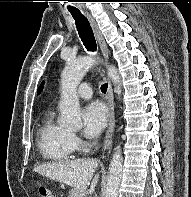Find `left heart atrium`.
I'll use <instances>...</instances> for the list:
<instances>
[{"mask_svg":"<svg viewBox=\"0 0 191 197\" xmlns=\"http://www.w3.org/2000/svg\"><path fill=\"white\" fill-rule=\"evenodd\" d=\"M106 107L100 102L88 104L82 112L84 132L90 137H95L102 132L107 123Z\"/></svg>","mask_w":191,"mask_h":197,"instance_id":"obj_1","label":"left heart atrium"}]
</instances>
